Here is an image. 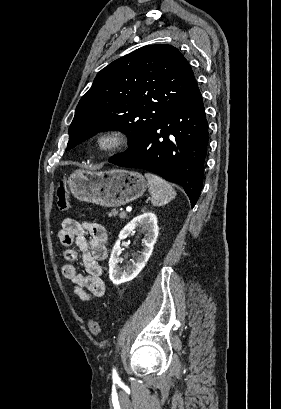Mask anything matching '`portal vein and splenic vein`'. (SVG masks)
<instances>
[{
	"label": "portal vein and splenic vein",
	"mask_w": 281,
	"mask_h": 409,
	"mask_svg": "<svg viewBox=\"0 0 281 409\" xmlns=\"http://www.w3.org/2000/svg\"><path fill=\"white\" fill-rule=\"evenodd\" d=\"M120 216H121L122 220H127L128 219V213L124 212V210H121Z\"/></svg>",
	"instance_id": "portal-vein-and-splenic-vein-1"
}]
</instances>
